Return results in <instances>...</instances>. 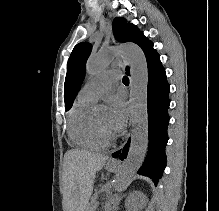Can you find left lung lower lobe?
Returning <instances> with one entry per match:
<instances>
[{
  "mask_svg": "<svg viewBox=\"0 0 219 211\" xmlns=\"http://www.w3.org/2000/svg\"><path fill=\"white\" fill-rule=\"evenodd\" d=\"M146 60L148 66L147 108L149 147L145 161L138 173L150 177L156 185L166 166L165 146L168 141L167 126L169 123L170 87L157 51L151 52L146 57ZM129 145L130 140L124 146L122 153L121 151L115 152L112 154V157H119L121 160L126 158Z\"/></svg>",
  "mask_w": 219,
  "mask_h": 211,
  "instance_id": "0a47b994",
  "label": "left lung lower lobe"
}]
</instances>
